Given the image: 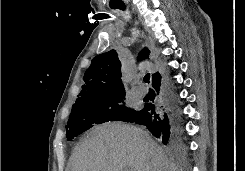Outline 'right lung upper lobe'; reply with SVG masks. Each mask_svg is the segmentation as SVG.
I'll list each match as a JSON object with an SVG mask.
<instances>
[{
  "instance_id": "1",
  "label": "right lung upper lobe",
  "mask_w": 245,
  "mask_h": 171,
  "mask_svg": "<svg viewBox=\"0 0 245 171\" xmlns=\"http://www.w3.org/2000/svg\"><path fill=\"white\" fill-rule=\"evenodd\" d=\"M148 54L149 50L144 49L139 56L142 59L148 57ZM120 69L121 63L115 50L94 57L84 74L85 84L76 101L125 93ZM159 77V73L153 74L152 83Z\"/></svg>"
}]
</instances>
